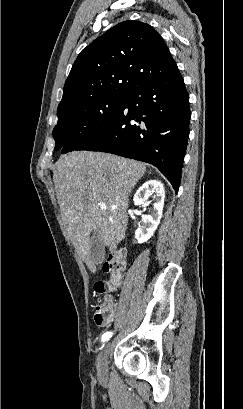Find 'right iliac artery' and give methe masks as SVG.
<instances>
[{"mask_svg": "<svg viewBox=\"0 0 243 409\" xmlns=\"http://www.w3.org/2000/svg\"><path fill=\"white\" fill-rule=\"evenodd\" d=\"M113 335V332H106L103 336H102V342H106L107 340H109V338H111V336Z\"/></svg>", "mask_w": 243, "mask_h": 409, "instance_id": "obj_1", "label": "right iliac artery"}]
</instances>
